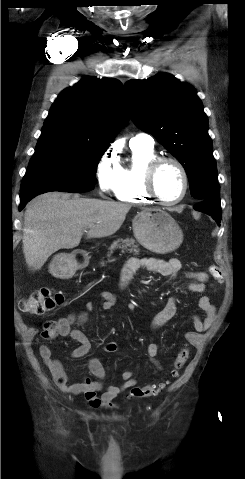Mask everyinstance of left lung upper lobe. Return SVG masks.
Returning a JSON list of instances; mask_svg holds the SVG:
<instances>
[{"mask_svg": "<svg viewBox=\"0 0 245 479\" xmlns=\"http://www.w3.org/2000/svg\"><path fill=\"white\" fill-rule=\"evenodd\" d=\"M131 117L183 165L191 196L203 201L219 194L208 118L196 90L168 73L125 84Z\"/></svg>", "mask_w": 245, "mask_h": 479, "instance_id": "5c2ea615", "label": "left lung upper lobe"}]
</instances>
